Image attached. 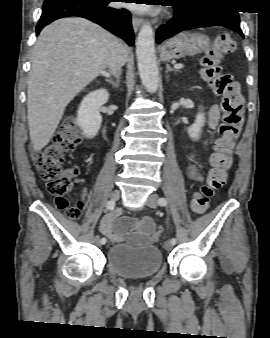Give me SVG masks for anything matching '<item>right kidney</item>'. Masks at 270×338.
Here are the masks:
<instances>
[{"label":"right kidney","mask_w":270,"mask_h":338,"mask_svg":"<svg viewBox=\"0 0 270 338\" xmlns=\"http://www.w3.org/2000/svg\"><path fill=\"white\" fill-rule=\"evenodd\" d=\"M109 99L106 89H99L83 98L77 113V124L87 138L97 135L102 122L99 109Z\"/></svg>","instance_id":"ca27d5eb"}]
</instances>
